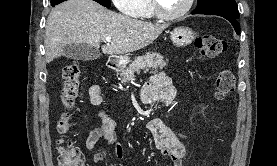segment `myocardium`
I'll use <instances>...</instances> for the list:
<instances>
[{
    "mask_svg": "<svg viewBox=\"0 0 277 166\" xmlns=\"http://www.w3.org/2000/svg\"><path fill=\"white\" fill-rule=\"evenodd\" d=\"M194 0H187L184 7L176 13L168 14L163 11L158 0H150L152 10L156 17L164 21H174L185 16L192 8Z\"/></svg>",
    "mask_w": 277,
    "mask_h": 166,
    "instance_id": "myocardium-1",
    "label": "myocardium"
}]
</instances>
